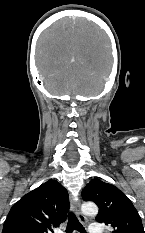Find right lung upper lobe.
<instances>
[{
	"label": "right lung upper lobe",
	"mask_w": 145,
	"mask_h": 233,
	"mask_svg": "<svg viewBox=\"0 0 145 233\" xmlns=\"http://www.w3.org/2000/svg\"><path fill=\"white\" fill-rule=\"evenodd\" d=\"M67 190L56 180H49L15 203L2 233H53L67 217Z\"/></svg>",
	"instance_id": "cb5924a9"
}]
</instances>
